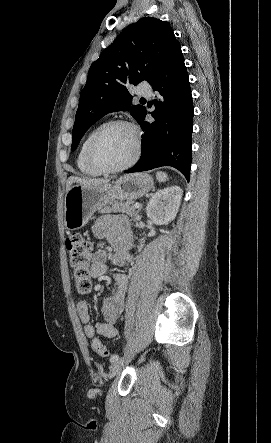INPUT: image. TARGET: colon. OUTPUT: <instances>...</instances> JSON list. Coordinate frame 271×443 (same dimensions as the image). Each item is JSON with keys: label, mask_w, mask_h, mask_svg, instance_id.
I'll use <instances>...</instances> for the list:
<instances>
[{"label": "colon", "mask_w": 271, "mask_h": 443, "mask_svg": "<svg viewBox=\"0 0 271 443\" xmlns=\"http://www.w3.org/2000/svg\"><path fill=\"white\" fill-rule=\"evenodd\" d=\"M66 248L69 256V263L78 293L87 295L92 289L90 262L92 258L93 246L90 240L81 235L75 234L66 240ZM95 353L102 357L109 355L108 350L101 341L94 338L91 343Z\"/></svg>", "instance_id": "obj_1"}]
</instances>
